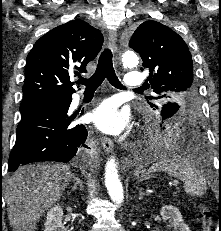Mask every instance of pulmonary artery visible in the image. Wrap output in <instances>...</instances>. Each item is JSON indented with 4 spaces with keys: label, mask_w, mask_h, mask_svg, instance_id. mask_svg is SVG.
Here are the masks:
<instances>
[{
    "label": "pulmonary artery",
    "mask_w": 221,
    "mask_h": 231,
    "mask_svg": "<svg viewBox=\"0 0 221 231\" xmlns=\"http://www.w3.org/2000/svg\"><path fill=\"white\" fill-rule=\"evenodd\" d=\"M144 76L140 72L131 71L128 72L125 81H124V87L126 88H138L143 85L144 83ZM78 97L74 100V104L78 102Z\"/></svg>",
    "instance_id": "pulmonary-artery-1"
}]
</instances>
